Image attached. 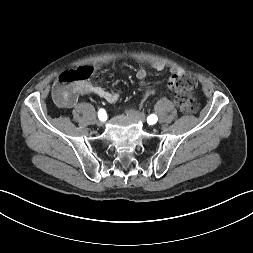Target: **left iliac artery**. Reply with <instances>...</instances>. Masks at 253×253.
I'll list each match as a JSON object with an SVG mask.
<instances>
[{
    "label": "left iliac artery",
    "instance_id": "1",
    "mask_svg": "<svg viewBox=\"0 0 253 253\" xmlns=\"http://www.w3.org/2000/svg\"><path fill=\"white\" fill-rule=\"evenodd\" d=\"M157 116L155 114H151L148 118H147V122L148 124L152 125L155 124L157 122Z\"/></svg>",
    "mask_w": 253,
    "mask_h": 253
}]
</instances>
